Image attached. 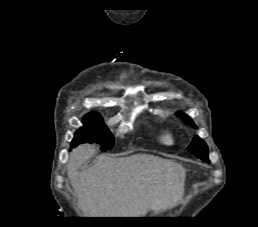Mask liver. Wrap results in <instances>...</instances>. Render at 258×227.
Listing matches in <instances>:
<instances>
[{"label":"liver","mask_w":258,"mask_h":227,"mask_svg":"<svg viewBox=\"0 0 258 227\" xmlns=\"http://www.w3.org/2000/svg\"><path fill=\"white\" fill-rule=\"evenodd\" d=\"M94 153L93 145L84 144L68 161V177L85 215L140 217L174 207L183 195L186 173L176 162L152 155H101L79 171Z\"/></svg>","instance_id":"liver-1"}]
</instances>
